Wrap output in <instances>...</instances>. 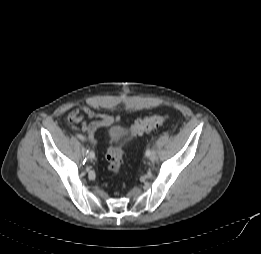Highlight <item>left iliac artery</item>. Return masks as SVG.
Returning a JSON list of instances; mask_svg holds the SVG:
<instances>
[{
    "label": "left iliac artery",
    "mask_w": 261,
    "mask_h": 254,
    "mask_svg": "<svg viewBox=\"0 0 261 254\" xmlns=\"http://www.w3.org/2000/svg\"><path fill=\"white\" fill-rule=\"evenodd\" d=\"M152 153L153 152H151V150L148 149V150H146L145 155L150 158Z\"/></svg>",
    "instance_id": "obj_1"
}]
</instances>
